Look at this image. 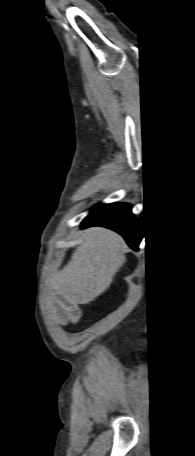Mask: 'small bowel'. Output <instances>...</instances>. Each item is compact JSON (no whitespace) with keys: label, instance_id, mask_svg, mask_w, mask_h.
I'll list each match as a JSON object with an SVG mask.
<instances>
[{"label":"small bowel","instance_id":"c3829d8e","mask_svg":"<svg viewBox=\"0 0 195 456\" xmlns=\"http://www.w3.org/2000/svg\"><path fill=\"white\" fill-rule=\"evenodd\" d=\"M53 315L59 323L66 324L75 322L80 316V311L71 301L59 299L53 306Z\"/></svg>","mask_w":195,"mask_h":456}]
</instances>
